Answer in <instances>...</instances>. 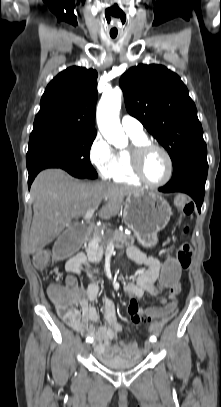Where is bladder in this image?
Instances as JSON below:
<instances>
[{
    "mask_svg": "<svg viewBox=\"0 0 221 407\" xmlns=\"http://www.w3.org/2000/svg\"><path fill=\"white\" fill-rule=\"evenodd\" d=\"M97 361L104 367L112 370H124L138 366L142 362V358L123 359L118 357H107L102 354L96 355Z\"/></svg>",
    "mask_w": 221,
    "mask_h": 407,
    "instance_id": "1",
    "label": "bladder"
}]
</instances>
